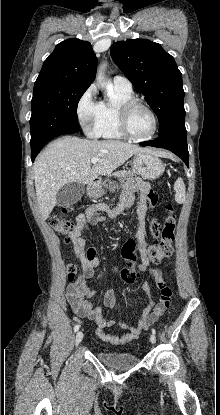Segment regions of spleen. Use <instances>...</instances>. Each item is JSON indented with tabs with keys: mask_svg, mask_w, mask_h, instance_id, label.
<instances>
[{
	"mask_svg": "<svg viewBox=\"0 0 220 415\" xmlns=\"http://www.w3.org/2000/svg\"><path fill=\"white\" fill-rule=\"evenodd\" d=\"M175 200L177 203H184L186 199V188L182 178H178L174 184Z\"/></svg>",
	"mask_w": 220,
	"mask_h": 415,
	"instance_id": "3e777b00",
	"label": "spleen"
}]
</instances>
